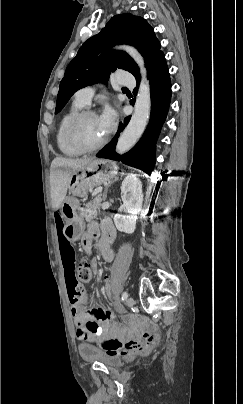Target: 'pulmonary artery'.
I'll list each match as a JSON object with an SVG mask.
<instances>
[{
    "label": "pulmonary artery",
    "instance_id": "obj_1",
    "mask_svg": "<svg viewBox=\"0 0 243 404\" xmlns=\"http://www.w3.org/2000/svg\"><path fill=\"white\" fill-rule=\"evenodd\" d=\"M96 92L95 86H85L81 88L76 94L75 97L79 101H81L84 105H89L91 98Z\"/></svg>",
    "mask_w": 243,
    "mask_h": 404
}]
</instances>
